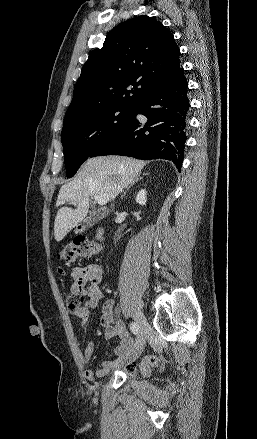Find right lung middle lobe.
Returning <instances> with one entry per match:
<instances>
[{"label":"right lung middle lobe","instance_id":"right-lung-middle-lobe-1","mask_svg":"<svg viewBox=\"0 0 257 439\" xmlns=\"http://www.w3.org/2000/svg\"><path fill=\"white\" fill-rule=\"evenodd\" d=\"M135 109L108 106L64 120L61 141L67 178L75 175L99 144L131 121Z\"/></svg>","mask_w":257,"mask_h":439}]
</instances>
